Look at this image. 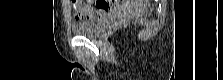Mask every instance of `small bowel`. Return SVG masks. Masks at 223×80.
Returning <instances> with one entry per match:
<instances>
[{
	"mask_svg": "<svg viewBox=\"0 0 223 80\" xmlns=\"http://www.w3.org/2000/svg\"><path fill=\"white\" fill-rule=\"evenodd\" d=\"M117 6L118 5L113 2H96L95 8H92L89 3L81 4L75 1L72 2L74 14L77 19H91L107 13L117 8ZM83 13L86 14L84 15Z\"/></svg>",
	"mask_w": 223,
	"mask_h": 80,
	"instance_id": "c3829d8e",
	"label": "small bowel"
}]
</instances>
